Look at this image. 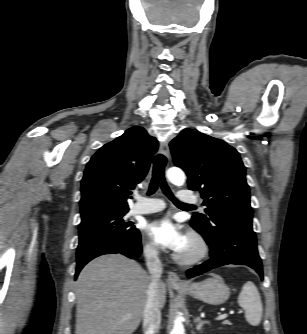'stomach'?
<instances>
[{"instance_id": "0dacf381", "label": "stomach", "mask_w": 307, "mask_h": 334, "mask_svg": "<svg viewBox=\"0 0 307 334\" xmlns=\"http://www.w3.org/2000/svg\"><path fill=\"white\" fill-rule=\"evenodd\" d=\"M181 291L211 305H220L226 302L230 296L229 287L218 275H212L201 282L192 283Z\"/></svg>"}]
</instances>
